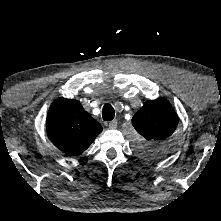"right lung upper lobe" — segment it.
<instances>
[{
    "instance_id": "obj_1",
    "label": "right lung upper lobe",
    "mask_w": 221,
    "mask_h": 221,
    "mask_svg": "<svg viewBox=\"0 0 221 221\" xmlns=\"http://www.w3.org/2000/svg\"><path fill=\"white\" fill-rule=\"evenodd\" d=\"M46 127L50 141L68 155L81 154L102 131L79 101L64 98L51 104Z\"/></svg>"
}]
</instances>
